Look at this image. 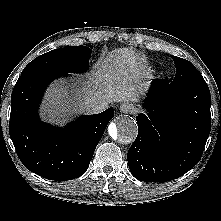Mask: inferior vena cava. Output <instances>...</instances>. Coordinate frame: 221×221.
<instances>
[{
    "label": "inferior vena cava",
    "instance_id": "1",
    "mask_svg": "<svg viewBox=\"0 0 221 221\" xmlns=\"http://www.w3.org/2000/svg\"><path fill=\"white\" fill-rule=\"evenodd\" d=\"M108 104L105 100L95 101L89 105V112L91 114L101 113L107 109Z\"/></svg>",
    "mask_w": 221,
    "mask_h": 221
}]
</instances>
